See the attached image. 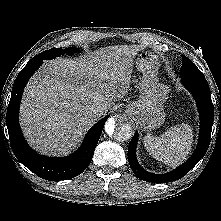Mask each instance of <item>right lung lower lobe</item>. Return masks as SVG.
<instances>
[{"label": "right lung lower lobe", "instance_id": "98d812e1", "mask_svg": "<svg viewBox=\"0 0 221 221\" xmlns=\"http://www.w3.org/2000/svg\"><path fill=\"white\" fill-rule=\"evenodd\" d=\"M42 62L43 59H31L14 82L6 115L10 146L16 158L37 176L51 181L70 179L81 174L90 164L103 126L109 116L101 119L89 130L82 146L71 156L51 158L33 151L23 137L18 114L24 87Z\"/></svg>", "mask_w": 221, "mask_h": 221}]
</instances>
